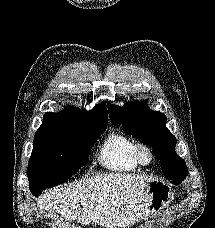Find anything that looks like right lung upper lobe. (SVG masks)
Segmentation results:
<instances>
[{"instance_id": "cb5924a9", "label": "right lung upper lobe", "mask_w": 215, "mask_h": 228, "mask_svg": "<svg viewBox=\"0 0 215 228\" xmlns=\"http://www.w3.org/2000/svg\"><path fill=\"white\" fill-rule=\"evenodd\" d=\"M100 123L108 124V114L105 103L95 106L91 111L66 107L62 112H47L44 115L43 124L37 130L36 134L57 128Z\"/></svg>"}]
</instances>
